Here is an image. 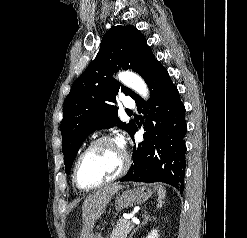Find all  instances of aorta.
Here are the masks:
<instances>
[{"label": "aorta", "mask_w": 247, "mask_h": 238, "mask_svg": "<svg viewBox=\"0 0 247 238\" xmlns=\"http://www.w3.org/2000/svg\"><path fill=\"white\" fill-rule=\"evenodd\" d=\"M118 79L127 87L131 88L143 98L148 97V88L143 79L132 72H122L118 75Z\"/></svg>", "instance_id": "1"}]
</instances>
